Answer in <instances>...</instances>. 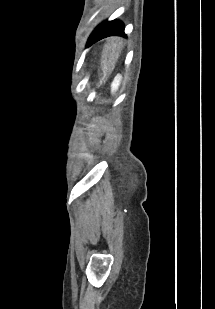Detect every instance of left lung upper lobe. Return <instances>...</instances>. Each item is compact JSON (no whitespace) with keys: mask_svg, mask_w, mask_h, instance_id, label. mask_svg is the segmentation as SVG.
<instances>
[{"mask_svg":"<svg viewBox=\"0 0 215 309\" xmlns=\"http://www.w3.org/2000/svg\"><path fill=\"white\" fill-rule=\"evenodd\" d=\"M112 35L125 36L124 26L122 22H119L117 20L111 22L105 21L95 29V31L91 34L88 42L94 43L98 40Z\"/></svg>","mask_w":215,"mask_h":309,"instance_id":"5c2ea615","label":"left lung upper lobe"}]
</instances>
